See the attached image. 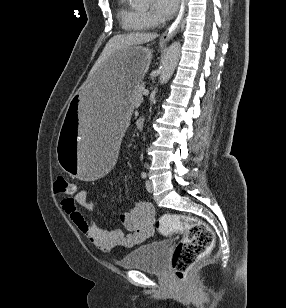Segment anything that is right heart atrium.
I'll return each instance as SVG.
<instances>
[{"mask_svg": "<svg viewBox=\"0 0 286 308\" xmlns=\"http://www.w3.org/2000/svg\"><path fill=\"white\" fill-rule=\"evenodd\" d=\"M144 16H145L146 21L150 24V26L156 23V19L152 17L150 14L145 13Z\"/></svg>", "mask_w": 286, "mask_h": 308, "instance_id": "1", "label": "right heart atrium"}]
</instances>
